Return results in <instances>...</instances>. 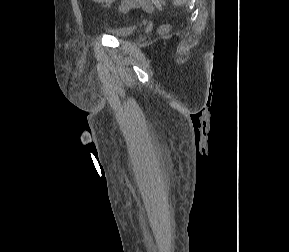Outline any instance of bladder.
<instances>
[{"mask_svg":"<svg viewBox=\"0 0 289 252\" xmlns=\"http://www.w3.org/2000/svg\"><path fill=\"white\" fill-rule=\"evenodd\" d=\"M106 32L117 38H126L133 34L134 27L132 26H117L106 29Z\"/></svg>","mask_w":289,"mask_h":252,"instance_id":"obj_1","label":"bladder"}]
</instances>
